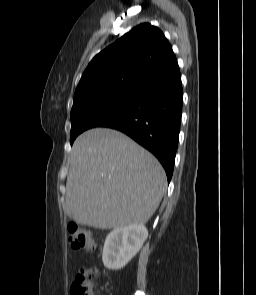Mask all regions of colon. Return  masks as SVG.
<instances>
[{
	"instance_id": "5ec220e1",
	"label": "colon",
	"mask_w": 256,
	"mask_h": 295,
	"mask_svg": "<svg viewBox=\"0 0 256 295\" xmlns=\"http://www.w3.org/2000/svg\"><path fill=\"white\" fill-rule=\"evenodd\" d=\"M70 233L68 242L70 247L76 251H95L97 244L92 235L78 225L71 223L68 226ZM94 269H83L75 278L72 285V295H92Z\"/></svg>"
}]
</instances>
